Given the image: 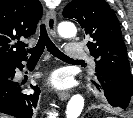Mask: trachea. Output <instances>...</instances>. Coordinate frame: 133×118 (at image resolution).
Listing matches in <instances>:
<instances>
[{
  "mask_svg": "<svg viewBox=\"0 0 133 118\" xmlns=\"http://www.w3.org/2000/svg\"><path fill=\"white\" fill-rule=\"evenodd\" d=\"M45 47L47 50L52 54L53 56L64 60V61H72V62H78V63H84V61L81 60H74L69 57H67L63 52H61L55 44L51 41L49 38L45 25H41L40 29V37L38 40V43L35 47L28 49L27 51L31 54L30 60H38L40 56L42 55Z\"/></svg>",
  "mask_w": 133,
  "mask_h": 118,
  "instance_id": "3493384b",
  "label": "trachea"
}]
</instances>
